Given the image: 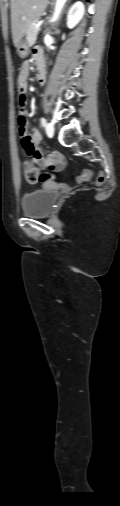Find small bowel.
<instances>
[{
    "instance_id": "1",
    "label": "small bowel",
    "mask_w": 120,
    "mask_h": 506,
    "mask_svg": "<svg viewBox=\"0 0 120 506\" xmlns=\"http://www.w3.org/2000/svg\"><path fill=\"white\" fill-rule=\"evenodd\" d=\"M38 54L43 55L42 50L37 47L33 50V59L34 60ZM29 71H30V63L28 61H26L22 64V66L20 68L19 75H18V81H21L23 83L24 88L26 87V80L29 76ZM39 80L41 83H43L45 80V76L43 78H39ZM21 135H23V134L21 133ZM28 135L32 138L34 145L36 146V148L40 152V157L37 159V163L39 164V166L41 168L61 169L63 167L64 157L62 154L55 153V154L47 155L41 149L38 148V145L40 143V135L36 129H33L32 133L28 134Z\"/></svg>"
}]
</instances>
